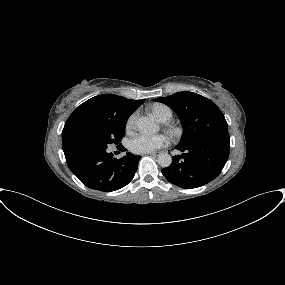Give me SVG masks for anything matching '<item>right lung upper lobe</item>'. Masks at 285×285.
I'll use <instances>...</instances> for the list:
<instances>
[{"label": "right lung upper lobe", "instance_id": "right-lung-upper-lobe-1", "mask_svg": "<svg viewBox=\"0 0 285 285\" xmlns=\"http://www.w3.org/2000/svg\"><path fill=\"white\" fill-rule=\"evenodd\" d=\"M144 102L127 99L114 94L95 96L78 106L66 121L62 131L64 153L78 147L79 141L88 133L112 120H127Z\"/></svg>", "mask_w": 285, "mask_h": 285}]
</instances>
